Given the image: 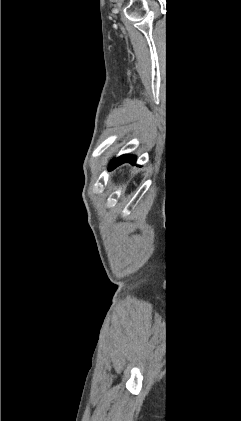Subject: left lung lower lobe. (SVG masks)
I'll return each instance as SVG.
<instances>
[{"instance_id": "0a47b994", "label": "left lung lower lobe", "mask_w": 241, "mask_h": 421, "mask_svg": "<svg viewBox=\"0 0 241 421\" xmlns=\"http://www.w3.org/2000/svg\"><path fill=\"white\" fill-rule=\"evenodd\" d=\"M136 161V157L135 156H130V155H122L116 159L113 160V162L110 164L109 169L112 170L113 168L117 167L118 165L125 163V162H130L132 164H134Z\"/></svg>"}]
</instances>
